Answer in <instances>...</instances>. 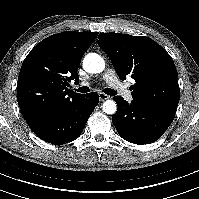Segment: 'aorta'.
Wrapping results in <instances>:
<instances>
[{"label": "aorta", "mask_w": 199, "mask_h": 199, "mask_svg": "<svg viewBox=\"0 0 199 199\" xmlns=\"http://www.w3.org/2000/svg\"><path fill=\"white\" fill-rule=\"evenodd\" d=\"M83 68L88 73H101L105 69L104 59L96 53H90L83 60ZM102 109L106 114H114L117 111V104L113 100H107L103 103Z\"/></svg>", "instance_id": "aorta-1"}]
</instances>
